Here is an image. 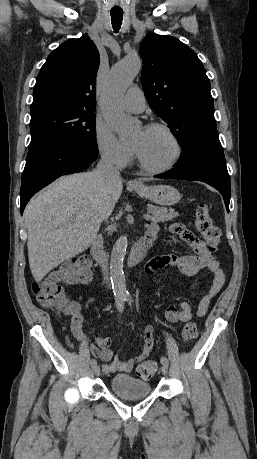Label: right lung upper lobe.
<instances>
[{
    "label": "right lung upper lobe",
    "instance_id": "obj_1",
    "mask_svg": "<svg viewBox=\"0 0 257 459\" xmlns=\"http://www.w3.org/2000/svg\"><path fill=\"white\" fill-rule=\"evenodd\" d=\"M99 63L98 49L88 36L61 44L38 74L31 112L53 106L95 110Z\"/></svg>",
    "mask_w": 257,
    "mask_h": 459
}]
</instances>
